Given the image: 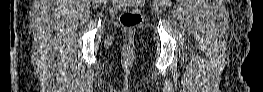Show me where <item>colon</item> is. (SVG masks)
I'll return each mask as SVG.
<instances>
[{
	"label": "colon",
	"instance_id": "colon-1",
	"mask_svg": "<svg viewBox=\"0 0 263 92\" xmlns=\"http://www.w3.org/2000/svg\"><path fill=\"white\" fill-rule=\"evenodd\" d=\"M136 5H141L144 1L137 0L134 1ZM143 14L139 8L132 10H127L123 12L120 16V22L125 28H134L142 23Z\"/></svg>",
	"mask_w": 263,
	"mask_h": 92
}]
</instances>
